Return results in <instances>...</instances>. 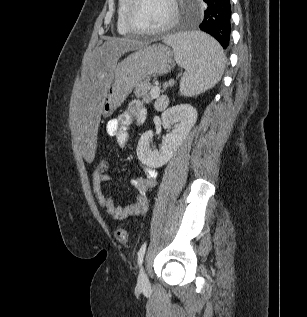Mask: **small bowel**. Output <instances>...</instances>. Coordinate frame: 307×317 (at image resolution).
<instances>
[{"mask_svg":"<svg viewBox=\"0 0 307 317\" xmlns=\"http://www.w3.org/2000/svg\"><path fill=\"white\" fill-rule=\"evenodd\" d=\"M145 118L146 110L143 104L139 101H132L127 110L107 122L106 131L108 135L116 139L121 148H125L129 141V126L133 121L141 124ZM143 173V176L136 177L132 181L137 191L133 201L123 206L116 204L104 190V184L113 179L112 175L106 172L97 173L94 171L92 176L93 190L99 205L116 220H123L146 212L148 208L146 194L156 184L157 171L152 167L143 166Z\"/></svg>","mask_w":307,"mask_h":317,"instance_id":"1","label":"small bowel"}]
</instances>
